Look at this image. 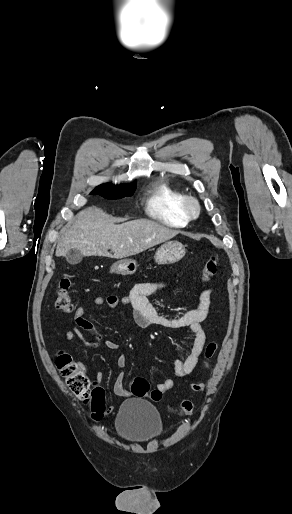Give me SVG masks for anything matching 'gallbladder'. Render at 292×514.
<instances>
[{"label": "gallbladder", "mask_w": 292, "mask_h": 514, "mask_svg": "<svg viewBox=\"0 0 292 514\" xmlns=\"http://www.w3.org/2000/svg\"><path fill=\"white\" fill-rule=\"evenodd\" d=\"M65 258L69 264H79V262H82L84 256L81 254L80 250L71 248V250H68L67 254H65Z\"/></svg>", "instance_id": "gallbladder-1"}]
</instances>
